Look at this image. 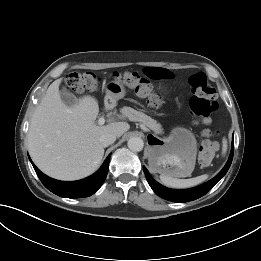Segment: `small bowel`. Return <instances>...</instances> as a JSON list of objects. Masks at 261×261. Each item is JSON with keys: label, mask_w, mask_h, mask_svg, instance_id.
Listing matches in <instances>:
<instances>
[{"label": "small bowel", "mask_w": 261, "mask_h": 261, "mask_svg": "<svg viewBox=\"0 0 261 261\" xmlns=\"http://www.w3.org/2000/svg\"><path fill=\"white\" fill-rule=\"evenodd\" d=\"M144 72L152 79L166 80L172 78V72L165 68H147Z\"/></svg>", "instance_id": "obj_1"}]
</instances>
